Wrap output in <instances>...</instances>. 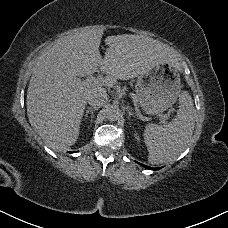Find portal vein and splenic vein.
Wrapping results in <instances>:
<instances>
[{"label": "portal vein and splenic vein", "mask_w": 228, "mask_h": 228, "mask_svg": "<svg viewBox=\"0 0 228 228\" xmlns=\"http://www.w3.org/2000/svg\"><path fill=\"white\" fill-rule=\"evenodd\" d=\"M85 82H86L87 84H89V85H94V86H96V85H99L100 79H98V78H96V77H94V76H88V77L86 78ZM162 117H163L164 120H165V119H168V116H166V115H164V116H162Z\"/></svg>", "instance_id": "obj_1"}]
</instances>
